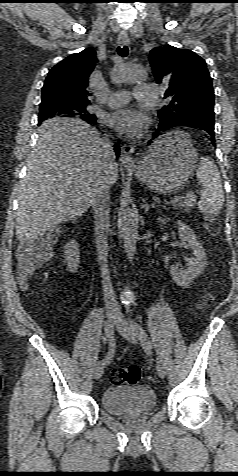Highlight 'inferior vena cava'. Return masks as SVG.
<instances>
[{
    "instance_id": "602c4592",
    "label": "inferior vena cava",
    "mask_w": 238,
    "mask_h": 476,
    "mask_svg": "<svg viewBox=\"0 0 238 476\" xmlns=\"http://www.w3.org/2000/svg\"><path fill=\"white\" fill-rule=\"evenodd\" d=\"M102 149L107 158L106 165V174L103 177L100 186L97 189L95 198L93 200L94 211H95V236H96V248L98 253V261L100 265L104 298L106 306L114 311H119V305L116 301L113 287L109 277V269L107 265V255H108V232H109V207L107 204L101 202L102 196L107 193V190L110 186L109 174L113 170L115 162V154L113 151L112 144L109 140L104 139L101 143ZM102 205H101V204Z\"/></svg>"
}]
</instances>
